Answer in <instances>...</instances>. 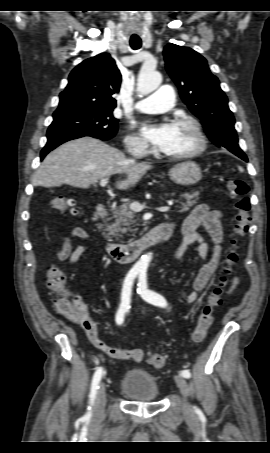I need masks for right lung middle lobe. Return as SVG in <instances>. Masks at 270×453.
Listing matches in <instances>:
<instances>
[{"label": "right lung middle lobe", "mask_w": 270, "mask_h": 453, "mask_svg": "<svg viewBox=\"0 0 270 453\" xmlns=\"http://www.w3.org/2000/svg\"><path fill=\"white\" fill-rule=\"evenodd\" d=\"M118 120L112 111H85L54 117L49 126L47 136H92L108 140L115 136L118 130Z\"/></svg>", "instance_id": "obj_1"}]
</instances>
